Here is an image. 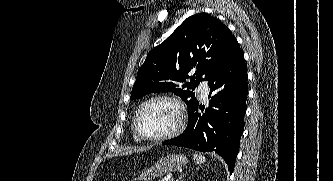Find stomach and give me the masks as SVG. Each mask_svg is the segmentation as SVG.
Segmentation results:
<instances>
[{
  "label": "stomach",
  "mask_w": 333,
  "mask_h": 181,
  "mask_svg": "<svg viewBox=\"0 0 333 181\" xmlns=\"http://www.w3.org/2000/svg\"><path fill=\"white\" fill-rule=\"evenodd\" d=\"M188 160L185 156L180 154L166 155L160 158L154 165L143 170L138 176L140 181H151L153 178L161 177L165 174L171 173L185 164Z\"/></svg>",
  "instance_id": "stomach-1"
}]
</instances>
